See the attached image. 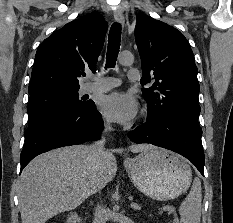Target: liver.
<instances>
[{
    "mask_svg": "<svg viewBox=\"0 0 233 223\" xmlns=\"http://www.w3.org/2000/svg\"><path fill=\"white\" fill-rule=\"evenodd\" d=\"M154 145L134 143L130 151H147ZM90 145L59 147L34 157L24 167L18 181V199L22 223H46L61 211H71L92 195L96 175L103 185L114 179L117 161L107 151L103 167L94 169Z\"/></svg>",
    "mask_w": 233,
    "mask_h": 223,
    "instance_id": "obj_1",
    "label": "liver"
}]
</instances>
